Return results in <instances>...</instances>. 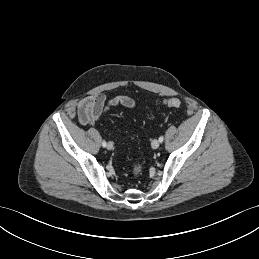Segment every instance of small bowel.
<instances>
[{"label": "small bowel", "mask_w": 259, "mask_h": 259, "mask_svg": "<svg viewBox=\"0 0 259 259\" xmlns=\"http://www.w3.org/2000/svg\"><path fill=\"white\" fill-rule=\"evenodd\" d=\"M115 106L132 109L135 102L128 96H117L109 101L103 94L88 96L78 104L79 121L82 125L95 124L111 107Z\"/></svg>", "instance_id": "c3829d8e"}]
</instances>
